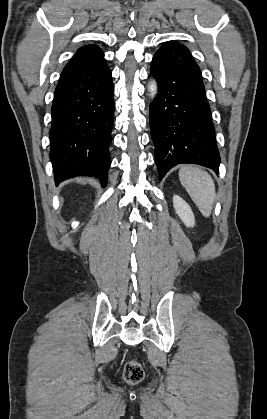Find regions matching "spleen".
Listing matches in <instances>:
<instances>
[{"instance_id":"obj_1","label":"spleen","mask_w":267,"mask_h":419,"mask_svg":"<svg viewBox=\"0 0 267 419\" xmlns=\"http://www.w3.org/2000/svg\"><path fill=\"white\" fill-rule=\"evenodd\" d=\"M179 179L204 217H209L215 201V184L204 170L184 165L179 170Z\"/></svg>"}]
</instances>
